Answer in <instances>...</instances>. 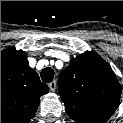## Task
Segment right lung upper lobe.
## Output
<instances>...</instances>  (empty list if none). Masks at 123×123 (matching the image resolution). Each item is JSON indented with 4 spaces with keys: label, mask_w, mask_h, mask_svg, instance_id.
<instances>
[{
    "label": "right lung upper lobe",
    "mask_w": 123,
    "mask_h": 123,
    "mask_svg": "<svg viewBox=\"0 0 123 123\" xmlns=\"http://www.w3.org/2000/svg\"><path fill=\"white\" fill-rule=\"evenodd\" d=\"M49 88L29 67L24 51H1V123H28Z\"/></svg>",
    "instance_id": "right-lung-upper-lobe-1"
}]
</instances>
